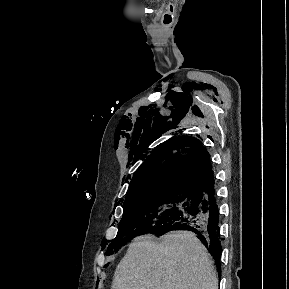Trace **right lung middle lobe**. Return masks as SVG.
<instances>
[{"label": "right lung middle lobe", "instance_id": "obj_1", "mask_svg": "<svg viewBox=\"0 0 289 289\" xmlns=\"http://www.w3.org/2000/svg\"><path fill=\"white\" fill-rule=\"evenodd\" d=\"M198 197L190 193L170 192L126 200L117 236L108 246L106 255L143 233L163 230L188 214Z\"/></svg>", "mask_w": 289, "mask_h": 289}]
</instances>
